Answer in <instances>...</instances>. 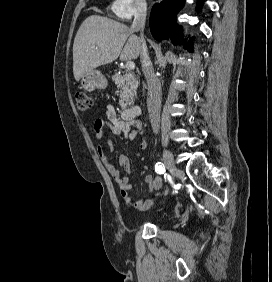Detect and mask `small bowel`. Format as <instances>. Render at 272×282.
<instances>
[{
  "mask_svg": "<svg viewBox=\"0 0 272 282\" xmlns=\"http://www.w3.org/2000/svg\"><path fill=\"white\" fill-rule=\"evenodd\" d=\"M108 129L113 137L124 136L128 140L138 138V145L141 149H146L148 146V139L141 123L120 118L115 109L110 105L106 108L105 117L98 118L94 123L95 137L101 140ZM96 148L104 166L117 183L122 199L129 207L141 211L154 203V199L134 200L130 195L132 189V184L129 182V175L131 173L130 161L126 155L121 154L118 158L120 165V168H118L108 158L107 153L113 151L112 139H109L106 145L98 143ZM144 183L151 192L159 191L163 185L162 178L152 174L144 177Z\"/></svg>",
  "mask_w": 272,
  "mask_h": 282,
  "instance_id": "small-bowel-1",
  "label": "small bowel"
}]
</instances>
